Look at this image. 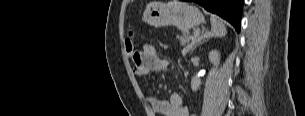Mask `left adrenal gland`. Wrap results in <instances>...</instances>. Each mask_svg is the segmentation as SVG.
<instances>
[{
  "instance_id": "1",
  "label": "left adrenal gland",
  "mask_w": 305,
  "mask_h": 116,
  "mask_svg": "<svg viewBox=\"0 0 305 116\" xmlns=\"http://www.w3.org/2000/svg\"><path fill=\"white\" fill-rule=\"evenodd\" d=\"M211 37V35H208L207 33H205L202 38H207V40ZM206 41V40H203V42ZM202 42H198V44L194 45L192 48H191V52L192 53L194 51V49L196 48L197 45L201 44Z\"/></svg>"
}]
</instances>
